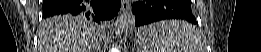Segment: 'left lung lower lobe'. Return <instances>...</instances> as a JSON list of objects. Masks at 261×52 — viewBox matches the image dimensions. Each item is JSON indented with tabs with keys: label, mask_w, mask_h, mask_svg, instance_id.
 <instances>
[{
	"label": "left lung lower lobe",
	"mask_w": 261,
	"mask_h": 52,
	"mask_svg": "<svg viewBox=\"0 0 261 52\" xmlns=\"http://www.w3.org/2000/svg\"><path fill=\"white\" fill-rule=\"evenodd\" d=\"M135 25L141 26L164 19H184L193 24L197 21L191 11L190 0H145L132 5Z\"/></svg>",
	"instance_id": "0a47b994"
}]
</instances>
